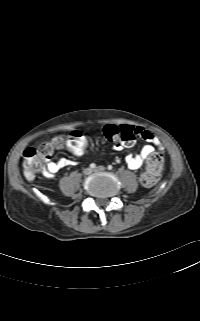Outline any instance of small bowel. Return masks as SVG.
Segmentation results:
<instances>
[{"instance_id":"obj_1","label":"small bowel","mask_w":200,"mask_h":321,"mask_svg":"<svg viewBox=\"0 0 200 321\" xmlns=\"http://www.w3.org/2000/svg\"><path fill=\"white\" fill-rule=\"evenodd\" d=\"M139 131V136L144 139L147 144L142 147L139 153L129 154L126 157V163L129 169L137 170L139 169L145 161L149 158L151 154L155 151V148L163 150L159 139L155 137L150 131L137 128ZM54 149H61L64 146V141L62 137H54L51 141ZM116 150H121V146H115ZM72 162L67 158H60L57 161H49L46 167L43 169L42 173L46 178H52L58 173L61 169L70 166Z\"/></svg>"}]
</instances>
